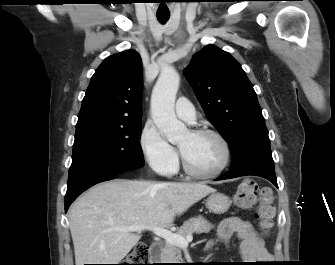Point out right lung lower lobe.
<instances>
[{
  "label": "right lung lower lobe",
  "mask_w": 335,
  "mask_h": 265,
  "mask_svg": "<svg viewBox=\"0 0 335 265\" xmlns=\"http://www.w3.org/2000/svg\"><path fill=\"white\" fill-rule=\"evenodd\" d=\"M129 170L115 168H92L74 175L68 179L65 195V212L71 203L86 189L99 182L114 179L118 174Z\"/></svg>",
  "instance_id": "right-lung-lower-lobe-1"
}]
</instances>
